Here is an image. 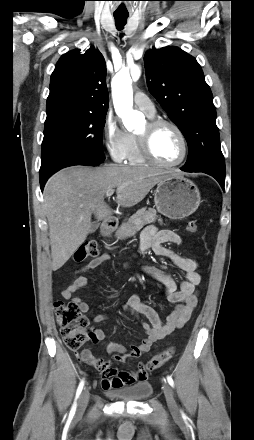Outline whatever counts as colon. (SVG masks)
<instances>
[{
    "instance_id": "1",
    "label": "colon",
    "mask_w": 254,
    "mask_h": 440,
    "mask_svg": "<svg viewBox=\"0 0 254 440\" xmlns=\"http://www.w3.org/2000/svg\"><path fill=\"white\" fill-rule=\"evenodd\" d=\"M188 231L191 233L198 232V224L195 220L189 222ZM98 253V246L95 242H86L74 251L72 259L76 262H83L90 257H96ZM55 312L65 345L73 351L81 350L92 337V332L88 331V318L83 316L78 307L72 302H55ZM174 352L175 349L169 347L154 356L147 362L146 370L153 371L162 366L173 357Z\"/></svg>"
}]
</instances>
